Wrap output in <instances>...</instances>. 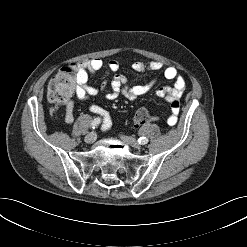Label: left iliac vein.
I'll list each match as a JSON object with an SVG mask.
<instances>
[{
  "label": "left iliac vein",
  "instance_id": "4c4485c4",
  "mask_svg": "<svg viewBox=\"0 0 247 247\" xmlns=\"http://www.w3.org/2000/svg\"><path fill=\"white\" fill-rule=\"evenodd\" d=\"M121 139L126 142L127 144L131 145L132 147H135V148H140V143H138L134 138H131V137H128V136H125V135H122L121 136Z\"/></svg>",
  "mask_w": 247,
  "mask_h": 247
}]
</instances>
